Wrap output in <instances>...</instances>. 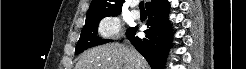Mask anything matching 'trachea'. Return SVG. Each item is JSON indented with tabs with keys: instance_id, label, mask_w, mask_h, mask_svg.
I'll use <instances>...</instances> for the list:
<instances>
[{
	"instance_id": "trachea-1",
	"label": "trachea",
	"mask_w": 246,
	"mask_h": 69,
	"mask_svg": "<svg viewBox=\"0 0 246 69\" xmlns=\"http://www.w3.org/2000/svg\"><path fill=\"white\" fill-rule=\"evenodd\" d=\"M139 8H140V11H145V8H144V1H141L139 3Z\"/></svg>"
}]
</instances>
